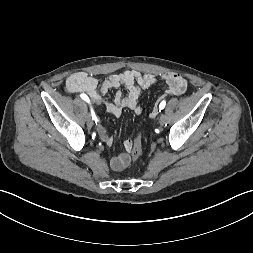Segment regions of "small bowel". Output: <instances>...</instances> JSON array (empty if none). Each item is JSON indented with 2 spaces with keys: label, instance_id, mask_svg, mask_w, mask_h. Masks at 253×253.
<instances>
[{
  "label": "small bowel",
  "instance_id": "small-bowel-1",
  "mask_svg": "<svg viewBox=\"0 0 253 253\" xmlns=\"http://www.w3.org/2000/svg\"><path fill=\"white\" fill-rule=\"evenodd\" d=\"M164 81L168 90L166 94L182 95L187 90L186 80L178 73L167 72L160 76ZM157 76L153 74H143L136 70H125L120 73L111 74L107 79L100 83L95 77L86 72L79 71L71 74L66 79V89L70 93L87 94L93 104L103 105L105 110L119 117L124 109L132 110L136 115L142 113L138 100L143 90L149 89L157 82ZM124 86L127 93L123 94L120 90L115 93L113 100L106 97L110 89H119ZM157 109L151 114V118H155ZM100 139L109 146L115 144V139L109 134L108 130L103 126L97 128ZM132 141L126 140L123 144L125 152L115 156L111 160V168L115 171L124 169L129 163L128 153L131 149Z\"/></svg>",
  "mask_w": 253,
  "mask_h": 253
}]
</instances>
